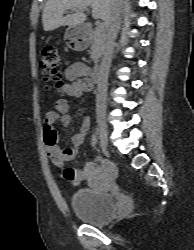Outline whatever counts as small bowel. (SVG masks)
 <instances>
[{
  "label": "small bowel",
  "instance_id": "small-bowel-1",
  "mask_svg": "<svg viewBox=\"0 0 194 250\" xmlns=\"http://www.w3.org/2000/svg\"><path fill=\"white\" fill-rule=\"evenodd\" d=\"M67 83L63 87V93L69 97H80L85 92L92 89L93 83L89 77V67L84 63L72 64L66 71ZM61 124L68 127L72 123V116L69 114V104L64 98L58 99L54 104V109L47 112L43 127V137L47 149V154L53 164L62 172V177L72 183L79 184L83 181H92L98 174V169L92 163H86L81 169L66 168V162L73 161L78 152V148L83 144L90 129V120L83 118L79 131L72 135L68 146L62 148L58 144V133L56 125ZM103 173L114 177L115 169L110 164L102 167Z\"/></svg>",
  "mask_w": 194,
  "mask_h": 250
}]
</instances>
